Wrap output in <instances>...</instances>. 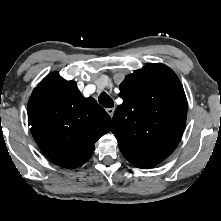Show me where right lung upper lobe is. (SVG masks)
Masks as SVG:
<instances>
[{
	"label": "right lung upper lobe",
	"mask_w": 221,
	"mask_h": 221,
	"mask_svg": "<svg viewBox=\"0 0 221 221\" xmlns=\"http://www.w3.org/2000/svg\"><path fill=\"white\" fill-rule=\"evenodd\" d=\"M28 124L47 158L74 169L90 159L95 142L110 131L111 118L94 98L83 97L74 81L53 72L32 92Z\"/></svg>",
	"instance_id": "right-lung-upper-lobe-1"
}]
</instances>
